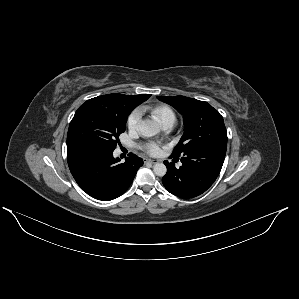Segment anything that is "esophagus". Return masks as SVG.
I'll list each match as a JSON object with an SVG mask.
<instances>
[{"label":"esophagus","mask_w":299,"mask_h":299,"mask_svg":"<svg viewBox=\"0 0 299 299\" xmlns=\"http://www.w3.org/2000/svg\"><path fill=\"white\" fill-rule=\"evenodd\" d=\"M158 160H153V159H144V163H150V164H156L158 163Z\"/></svg>","instance_id":"1"}]
</instances>
